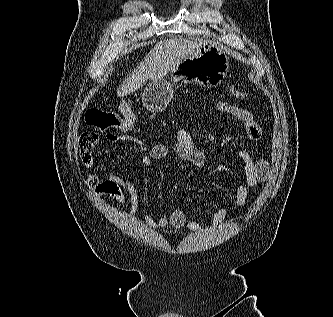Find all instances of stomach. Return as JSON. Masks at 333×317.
<instances>
[{"label":"stomach","mask_w":333,"mask_h":317,"mask_svg":"<svg viewBox=\"0 0 333 317\" xmlns=\"http://www.w3.org/2000/svg\"><path fill=\"white\" fill-rule=\"evenodd\" d=\"M228 69L229 58L225 52L211 43H205L197 55L173 68L171 76L176 84L185 78H191L203 87H212L222 81ZM173 92V84L166 79L152 80L143 91L142 103L151 112L164 111L173 97Z\"/></svg>","instance_id":"0dacf381"}]
</instances>
